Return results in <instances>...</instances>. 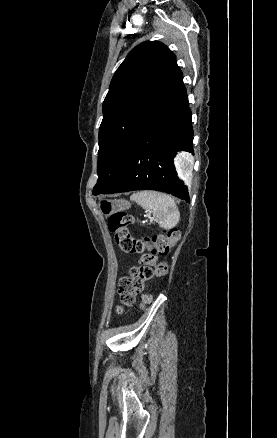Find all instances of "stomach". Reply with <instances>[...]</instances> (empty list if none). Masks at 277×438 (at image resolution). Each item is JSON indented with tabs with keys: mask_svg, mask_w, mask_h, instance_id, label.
I'll list each match as a JSON object with an SVG mask.
<instances>
[{
	"mask_svg": "<svg viewBox=\"0 0 277 438\" xmlns=\"http://www.w3.org/2000/svg\"><path fill=\"white\" fill-rule=\"evenodd\" d=\"M130 203L123 199L107 200L100 203V212L104 216L115 214L119 211L129 209Z\"/></svg>",
	"mask_w": 277,
	"mask_h": 438,
	"instance_id": "1",
	"label": "stomach"
}]
</instances>
